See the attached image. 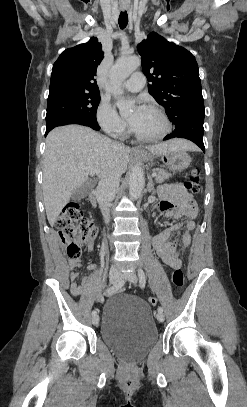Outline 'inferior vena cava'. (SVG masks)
I'll return each mask as SVG.
<instances>
[{"instance_id":"inferior-vena-cava-1","label":"inferior vena cava","mask_w":247,"mask_h":407,"mask_svg":"<svg viewBox=\"0 0 247 407\" xmlns=\"http://www.w3.org/2000/svg\"><path fill=\"white\" fill-rule=\"evenodd\" d=\"M117 144L122 145L121 143ZM120 177L121 175L117 173L104 175L98 183V201L101 205L102 214L106 223L109 221V205L114 199L115 193L119 187Z\"/></svg>"}]
</instances>
